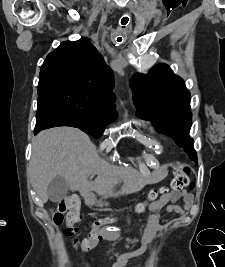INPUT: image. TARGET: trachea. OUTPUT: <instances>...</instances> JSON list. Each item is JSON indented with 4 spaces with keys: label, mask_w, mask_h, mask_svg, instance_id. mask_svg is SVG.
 <instances>
[{
    "label": "trachea",
    "mask_w": 225,
    "mask_h": 267,
    "mask_svg": "<svg viewBox=\"0 0 225 267\" xmlns=\"http://www.w3.org/2000/svg\"><path fill=\"white\" fill-rule=\"evenodd\" d=\"M128 21H129V18H128V17H123V18L121 19V24H122L123 26H125V25L128 23Z\"/></svg>",
    "instance_id": "obj_1"
}]
</instances>
